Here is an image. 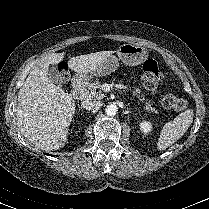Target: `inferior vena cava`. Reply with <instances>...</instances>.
Returning a JSON list of instances; mask_svg holds the SVG:
<instances>
[{"instance_id": "obj_1", "label": "inferior vena cava", "mask_w": 209, "mask_h": 209, "mask_svg": "<svg viewBox=\"0 0 209 209\" xmlns=\"http://www.w3.org/2000/svg\"><path fill=\"white\" fill-rule=\"evenodd\" d=\"M102 104L99 101H83L82 102V107L87 109V110H92V111H98L100 110Z\"/></svg>"}]
</instances>
